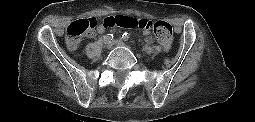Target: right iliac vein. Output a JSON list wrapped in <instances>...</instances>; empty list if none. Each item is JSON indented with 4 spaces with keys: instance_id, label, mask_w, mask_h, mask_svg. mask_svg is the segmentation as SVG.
<instances>
[{
    "instance_id": "1",
    "label": "right iliac vein",
    "mask_w": 255,
    "mask_h": 122,
    "mask_svg": "<svg viewBox=\"0 0 255 122\" xmlns=\"http://www.w3.org/2000/svg\"><path fill=\"white\" fill-rule=\"evenodd\" d=\"M107 50H111L113 48V43L110 42L106 45Z\"/></svg>"
}]
</instances>
